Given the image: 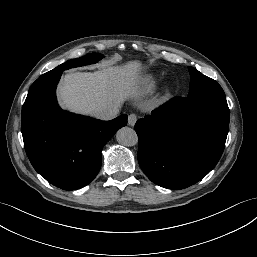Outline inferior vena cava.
<instances>
[{
  "label": "inferior vena cava",
  "instance_id": "obj_1",
  "mask_svg": "<svg viewBox=\"0 0 257 257\" xmlns=\"http://www.w3.org/2000/svg\"><path fill=\"white\" fill-rule=\"evenodd\" d=\"M119 112H120L119 106L97 108L92 112V116L100 120H111L117 117Z\"/></svg>",
  "mask_w": 257,
  "mask_h": 257
}]
</instances>
